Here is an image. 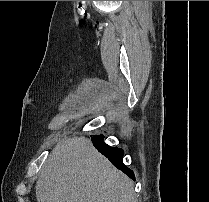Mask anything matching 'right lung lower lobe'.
<instances>
[{"mask_svg":"<svg viewBox=\"0 0 209 202\" xmlns=\"http://www.w3.org/2000/svg\"><path fill=\"white\" fill-rule=\"evenodd\" d=\"M91 139L95 148L104 156H106L115 167L135 180L134 173L123 164L124 151L122 149L107 145L103 141L104 136L102 134L93 135L91 136Z\"/></svg>","mask_w":209,"mask_h":202,"instance_id":"1","label":"right lung lower lobe"}]
</instances>
